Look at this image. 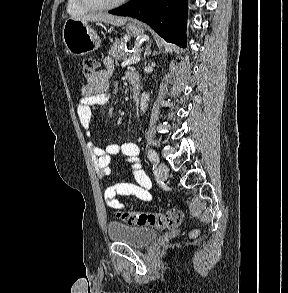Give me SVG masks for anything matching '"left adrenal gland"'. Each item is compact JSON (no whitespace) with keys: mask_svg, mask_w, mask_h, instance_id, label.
I'll use <instances>...</instances> for the list:
<instances>
[{"mask_svg":"<svg viewBox=\"0 0 288 293\" xmlns=\"http://www.w3.org/2000/svg\"><path fill=\"white\" fill-rule=\"evenodd\" d=\"M145 55L148 56V57L151 55V49H150V46H148V47L146 48Z\"/></svg>","mask_w":288,"mask_h":293,"instance_id":"left-adrenal-gland-1","label":"left adrenal gland"}]
</instances>
